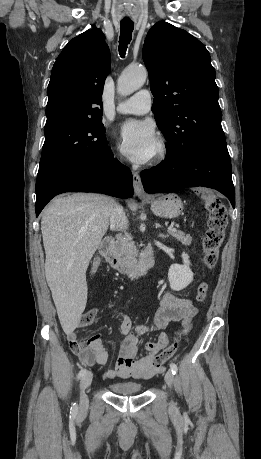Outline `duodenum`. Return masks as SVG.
I'll use <instances>...</instances> for the list:
<instances>
[{
  "label": "duodenum",
  "instance_id": "1",
  "mask_svg": "<svg viewBox=\"0 0 261 459\" xmlns=\"http://www.w3.org/2000/svg\"><path fill=\"white\" fill-rule=\"evenodd\" d=\"M114 240L112 237H107L103 240L99 247V254L113 268L121 271L123 274L137 278L147 272L155 263V251L152 246H148L141 259L133 265H122L117 256L114 254Z\"/></svg>",
  "mask_w": 261,
  "mask_h": 459
}]
</instances>
